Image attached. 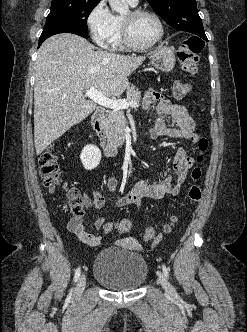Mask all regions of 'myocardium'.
<instances>
[{
  "label": "myocardium",
  "mask_w": 247,
  "mask_h": 332,
  "mask_svg": "<svg viewBox=\"0 0 247 332\" xmlns=\"http://www.w3.org/2000/svg\"><path fill=\"white\" fill-rule=\"evenodd\" d=\"M130 15L132 17H137L140 15L152 16L159 25L160 33H159V36L157 37V39L149 44H146V45L137 44L132 38L129 21L122 18V23H121L122 38H123L124 44L128 48L137 50V51H145V50H149V49L153 48L154 46H156L163 40V38L165 36V26H164V23H163L161 17L156 12L149 10V9L133 8L130 11Z\"/></svg>",
  "instance_id": "obj_1"
}]
</instances>
